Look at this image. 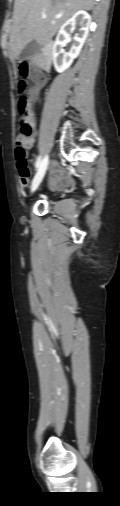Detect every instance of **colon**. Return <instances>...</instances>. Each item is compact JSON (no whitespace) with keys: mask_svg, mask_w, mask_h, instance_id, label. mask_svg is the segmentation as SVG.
Segmentation results:
<instances>
[{"mask_svg":"<svg viewBox=\"0 0 120 506\" xmlns=\"http://www.w3.org/2000/svg\"><path fill=\"white\" fill-rule=\"evenodd\" d=\"M21 79L19 81V88L23 90L25 86V78L28 76L29 68L26 63L20 65ZM19 110V127L20 133L17 136L16 142V157L17 168L22 178L29 176L28 154L33 146V120L25 97H21L18 101Z\"/></svg>","mask_w":120,"mask_h":506,"instance_id":"colon-1","label":"colon"}]
</instances>
